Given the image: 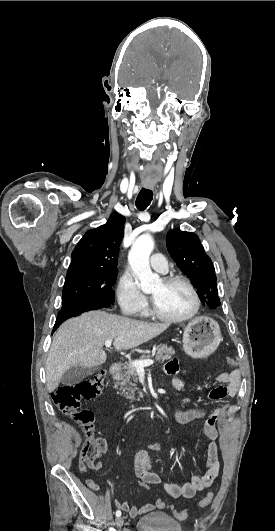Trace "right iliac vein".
<instances>
[{"label": "right iliac vein", "mask_w": 275, "mask_h": 531, "mask_svg": "<svg viewBox=\"0 0 275 531\" xmlns=\"http://www.w3.org/2000/svg\"><path fill=\"white\" fill-rule=\"evenodd\" d=\"M122 525H123V519L121 517H118L116 519V527L121 528Z\"/></svg>", "instance_id": "right-iliac-vein-1"}]
</instances>
